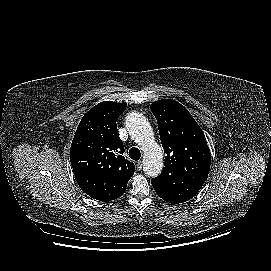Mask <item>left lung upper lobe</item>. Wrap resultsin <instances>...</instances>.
<instances>
[{"mask_svg":"<svg viewBox=\"0 0 271 271\" xmlns=\"http://www.w3.org/2000/svg\"><path fill=\"white\" fill-rule=\"evenodd\" d=\"M157 119L160 139L166 153L162 173L152 181H160L171 173H179L202 186L206 181L211 155L202 129L188 110L172 99H162L150 106Z\"/></svg>","mask_w":271,"mask_h":271,"instance_id":"left-lung-upper-lobe-1","label":"left lung upper lobe"}]
</instances>
